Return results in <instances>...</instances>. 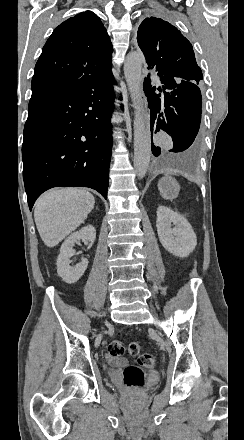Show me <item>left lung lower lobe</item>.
Returning a JSON list of instances; mask_svg holds the SVG:
<instances>
[{
    "mask_svg": "<svg viewBox=\"0 0 244 440\" xmlns=\"http://www.w3.org/2000/svg\"><path fill=\"white\" fill-rule=\"evenodd\" d=\"M162 94H156L151 87L149 77L144 81V91L148 100L151 116V132L163 130L173 140L169 152L179 153L192 149L197 142L201 122V91L198 84L178 81L172 76H159ZM152 153L159 156L160 148L152 143Z\"/></svg>",
    "mask_w": 244,
    "mask_h": 440,
    "instance_id": "0a47b994",
    "label": "left lung lower lobe"
}]
</instances>
